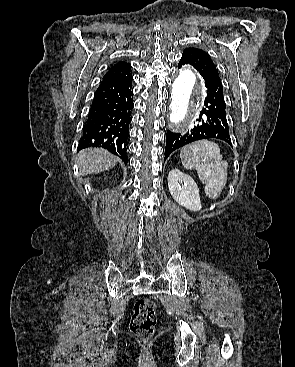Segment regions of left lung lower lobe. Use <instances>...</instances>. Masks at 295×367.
Listing matches in <instances>:
<instances>
[{
    "instance_id": "1",
    "label": "left lung lower lobe",
    "mask_w": 295,
    "mask_h": 367,
    "mask_svg": "<svg viewBox=\"0 0 295 367\" xmlns=\"http://www.w3.org/2000/svg\"><path fill=\"white\" fill-rule=\"evenodd\" d=\"M185 64H189V62L181 59L178 68ZM198 72L204 78L207 87L204 107L197 120L199 123L186 134L167 131L164 161L174 150L200 139L216 138L232 146L220 77L214 73Z\"/></svg>"
}]
</instances>
